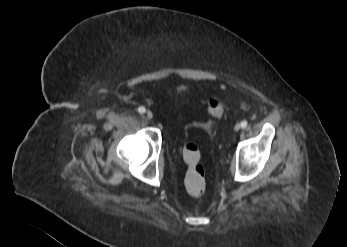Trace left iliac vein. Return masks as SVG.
I'll list each match as a JSON object with an SVG mask.
<instances>
[{"label": "left iliac vein", "mask_w": 347, "mask_h": 247, "mask_svg": "<svg viewBox=\"0 0 347 247\" xmlns=\"http://www.w3.org/2000/svg\"><path fill=\"white\" fill-rule=\"evenodd\" d=\"M241 129V125L240 124H236L235 126H234V130L235 131H239Z\"/></svg>", "instance_id": "obj_1"}]
</instances>
